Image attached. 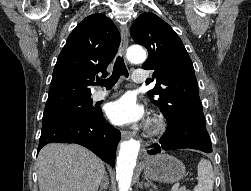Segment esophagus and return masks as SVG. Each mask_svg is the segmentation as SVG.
<instances>
[{
    "mask_svg": "<svg viewBox=\"0 0 251 191\" xmlns=\"http://www.w3.org/2000/svg\"><path fill=\"white\" fill-rule=\"evenodd\" d=\"M121 43H120V52L123 56H125L126 49L129 43V30L127 26H121ZM122 139L132 138L134 133L132 131H122L121 133Z\"/></svg>",
    "mask_w": 251,
    "mask_h": 191,
    "instance_id": "obj_1",
    "label": "esophagus"
}]
</instances>
